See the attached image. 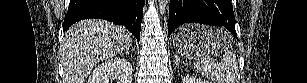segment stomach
<instances>
[{
  "instance_id": "0dacf381",
  "label": "stomach",
  "mask_w": 307,
  "mask_h": 83,
  "mask_svg": "<svg viewBox=\"0 0 307 83\" xmlns=\"http://www.w3.org/2000/svg\"><path fill=\"white\" fill-rule=\"evenodd\" d=\"M233 42L232 36L222 28L187 24L178 29L173 44L178 54L191 59L213 58L225 51Z\"/></svg>"
}]
</instances>
